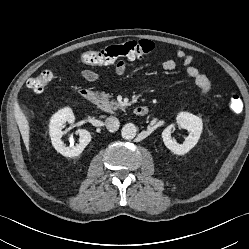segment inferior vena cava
I'll return each mask as SVG.
<instances>
[{
	"label": "inferior vena cava",
	"mask_w": 249,
	"mask_h": 249,
	"mask_svg": "<svg viewBox=\"0 0 249 249\" xmlns=\"http://www.w3.org/2000/svg\"><path fill=\"white\" fill-rule=\"evenodd\" d=\"M119 126L120 122L116 117L110 116L106 119V128L108 131L115 132L119 129Z\"/></svg>",
	"instance_id": "inferior-vena-cava-1"
}]
</instances>
